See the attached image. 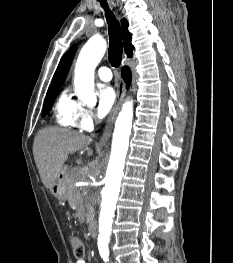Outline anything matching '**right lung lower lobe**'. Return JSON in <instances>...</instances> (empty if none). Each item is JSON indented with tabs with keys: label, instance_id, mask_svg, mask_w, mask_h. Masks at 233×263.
Listing matches in <instances>:
<instances>
[{
	"label": "right lung lower lobe",
	"instance_id": "obj_1",
	"mask_svg": "<svg viewBox=\"0 0 233 263\" xmlns=\"http://www.w3.org/2000/svg\"><path fill=\"white\" fill-rule=\"evenodd\" d=\"M122 75L124 77L125 82L127 83V87L130 84L131 81V71L128 67H124L122 70Z\"/></svg>",
	"mask_w": 233,
	"mask_h": 263
}]
</instances>
